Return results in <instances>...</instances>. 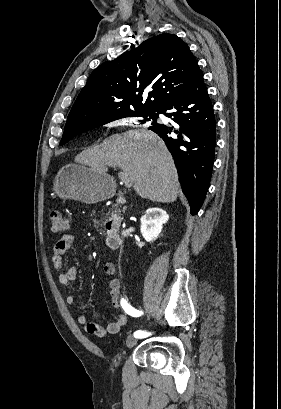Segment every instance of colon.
Returning a JSON list of instances; mask_svg holds the SVG:
<instances>
[{"label": "colon", "mask_w": 281, "mask_h": 409, "mask_svg": "<svg viewBox=\"0 0 281 409\" xmlns=\"http://www.w3.org/2000/svg\"><path fill=\"white\" fill-rule=\"evenodd\" d=\"M49 218L54 233L63 235L68 232L69 222L61 211L51 210L49 213Z\"/></svg>", "instance_id": "1"}]
</instances>
